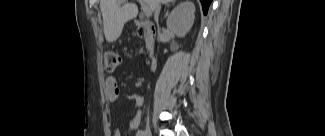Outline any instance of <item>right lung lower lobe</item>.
Returning <instances> with one entry per match:
<instances>
[{
  "label": "right lung lower lobe",
  "instance_id": "right-lung-lower-lobe-1",
  "mask_svg": "<svg viewBox=\"0 0 325 136\" xmlns=\"http://www.w3.org/2000/svg\"><path fill=\"white\" fill-rule=\"evenodd\" d=\"M200 2L202 4V9L204 14H207L209 5L212 2V0H200Z\"/></svg>",
  "mask_w": 325,
  "mask_h": 136
}]
</instances>
